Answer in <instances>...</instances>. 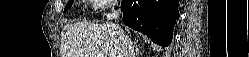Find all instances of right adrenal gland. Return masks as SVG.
Listing matches in <instances>:
<instances>
[{
    "label": "right adrenal gland",
    "instance_id": "obj_1",
    "mask_svg": "<svg viewBox=\"0 0 249 57\" xmlns=\"http://www.w3.org/2000/svg\"><path fill=\"white\" fill-rule=\"evenodd\" d=\"M134 46H135L136 55H138L139 49H138V47L136 45H134Z\"/></svg>",
    "mask_w": 249,
    "mask_h": 57
}]
</instances>
